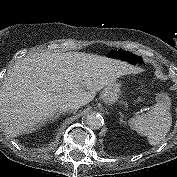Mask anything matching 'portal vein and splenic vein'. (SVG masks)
Returning a JSON list of instances; mask_svg holds the SVG:
<instances>
[{
    "label": "portal vein and splenic vein",
    "mask_w": 177,
    "mask_h": 177,
    "mask_svg": "<svg viewBox=\"0 0 177 177\" xmlns=\"http://www.w3.org/2000/svg\"><path fill=\"white\" fill-rule=\"evenodd\" d=\"M147 110V108H143V111H146Z\"/></svg>",
    "instance_id": "portal-vein-and-splenic-vein-1"
}]
</instances>
